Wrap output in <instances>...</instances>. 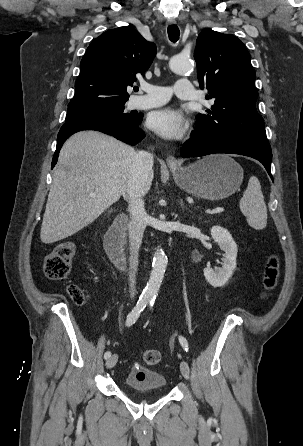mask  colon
Returning a JSON list of instances; mask_svg holds the SVG:
<instances>
[{
    "mask_svg": "<svg viewBox=\"0 0 303 446\" xmlns=\"http://www.w3.org/2000/svg\"><path fill=\"white\" fill-rule=\"evenodd\" d=\"M75 252L76 246L73 242L67 241L58 244L44 259L43 271L45 276L51 280L67 278ZM279 275V259L276 255H270L263 273V298L277 286ZM67 293L75 304L82 305L85 303L86 296L78 285L70 284L67 287ZM142 359L147 365H156L161 360V354L158 350L148 349L143 352Z\"/></svg>",
    "mask_w": 303,
    "mask_h": 446,
    "instance_id": "1",
    "label": "colon"
}]
</instances>
